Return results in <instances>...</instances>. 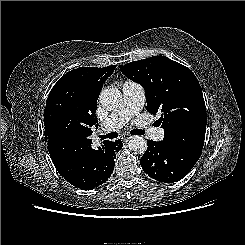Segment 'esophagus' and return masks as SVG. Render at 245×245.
Instances as JSON below:
<instances>
[{"mask_svg":"<svg viewBox=\"0 0 245 245\" xmlns=\"http://www.w3.org/2000/svg\"><path fill=\"white\" fill-rule=\"evenodd\" d=\"M131 138H133V136L127 133L121 135V139L125 142L129 141Z\"/></svg>","mask_w":245,"mask_h":245,"instance_id":"1","label":"esophagus"}]
</instances>
